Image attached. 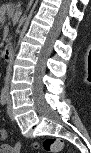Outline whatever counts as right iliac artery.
Instances as JSON below:
<instances>
[{
  "label": "right iliac artery",
  "mask_w": 91,
  "mask_h": 153,
  "mask_svg": "<svg viewBox=\"0 0 91 153\" xmlns=\"http://www.w3.org/2000/svg\"><path fill=\"white\" fill-rule=\"evenodd\" d=\"M0 103L2 105H5L7 103V90L5 87L2 89V92H1Z\"/></svg>",
  "instance_id": "right-iliac-artery-1"
}]
</instances>
